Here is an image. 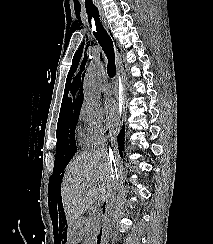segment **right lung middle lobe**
I'll return each instance as SVG.
<instances>
[{"label":"right lung middle lobe","instance_id":"right-lung-middle-lobe-1","mask_svg":"<svg viewBox=\"0 0 213 244\" xmlns=\"http://www.w3.org/2000/svg\"><path fill=\"white\" fill-rule=\"evenodd\" d=\"M80 108L60 113L57 124L56 157L50 182H56L59 171L64 169L77 151L75 141V127ZM58 182V181H57Z\"/></svg>","mask_w":213,"mask_h":244}]
</instances>
